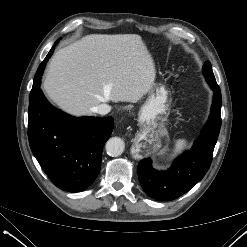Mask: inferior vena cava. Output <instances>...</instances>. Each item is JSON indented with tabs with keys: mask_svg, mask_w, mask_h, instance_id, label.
I'll return each mask as SVG.
<instances>
[{
	"mask_svg": "<svg viewBox=\"0 0 247 247\" xmlns=\"http://www.w3.org/2000/svg\"><path fill=\"white\" fill-rule=\"evenodd\" d=\"M93 111L100 114L105 115L111 111V107L107 104H100L93 108Z\"/></svg>",
	"mask_w": 247,
	"mask_h": 247,
	"instance_id": "obj_1",
	"label": "inferior vena cava"
}]
</instances>
